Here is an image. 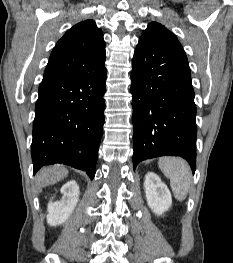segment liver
<instances>
[{
    "mask_svg": "<svg viewBox=\"0 0 233 263\" xmlns=\"http://www.w3.org/2000/svg\"><path fill=\"white\" fill-rule=\"evenodd\" d=\"M67 174L68 170L58 165L42 168L36 175V185L38 189L53 185L64 179Z\"/></svg>",
    "mask_w": 233,
    "mask_h": 263,
    "instance_id": "liver-1",
    "label": "liver"
}]
</instances>
